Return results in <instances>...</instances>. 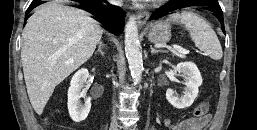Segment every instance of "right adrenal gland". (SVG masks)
Returning a JSON list of instances; mask_svg holds the SVG:
<instances>
[{"instance_id": "right-adrenal-gland-1", "label": "right adrenal gland", "mask_w": 257, "mask_h": 130, "mask_svg": "<svg viewBox=\"0 0 257 130\" xmlns=\"http://www.w3.org/2000/svg\"><path fill=\"white\" fill-rule=\"evenodd\" d=\"M103 44L102 42L99 43L98 50L95 52V54L100 53L102 56H104V52L102 51Z\"/></svg>"}]
</instances>
